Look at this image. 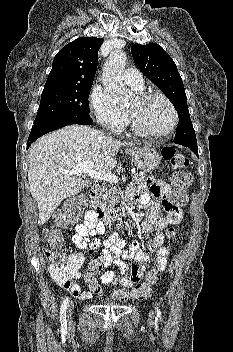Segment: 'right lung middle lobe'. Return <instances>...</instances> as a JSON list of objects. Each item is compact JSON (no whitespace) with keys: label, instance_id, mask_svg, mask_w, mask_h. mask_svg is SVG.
Returning <instances> with one entry per match:
<instances>
[{"label":"right lung middle lobe","instance_id":"dd1d6c3e","mask_svg":"<svg viewBox=\"0 0 233 352\" xmlns=\"http://www.w3.org/2000/svg\"><path fill=\"white\" fill-rule=\"evenodd\" d=\"M91 87H44L34 125L72 116L90 117L88 97Z\"/></svg>","mask_w":233,"mask_h":352}]
</instances>
